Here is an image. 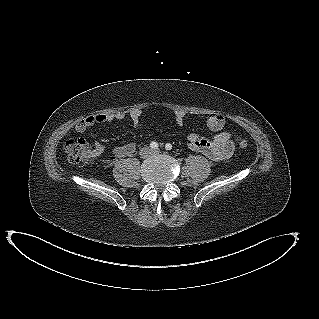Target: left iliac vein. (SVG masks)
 <instances>
[{"label":"left iliac vein","mask_w":319,"mask_h":319,"mask_svg":"<svg viewBox=\"0 0 319 319\" xmlns=\"http://www.w3.org/2000/svg\"><path fill=\"white\" fill-rule=\"evenodd\" d=\"M159 152H160L159 149L152 150V153H153V154H157V153H159Z\"/></svg>","instance_id":"4c4485c4"}]
</instances>
